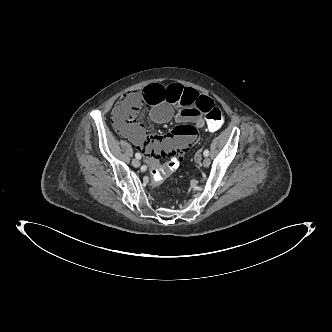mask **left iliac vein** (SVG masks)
<instances>
[{
  "label": "left iliac vein",
  "instance_id": "4c4485c4",
  "mask_svg": "<svg viewBox=\"0 0 332 332\" xmlns=\"http://www.w3.org/2000/svg\"><path fill=\"white\" fill-rule=\"evenodd\" d=\"M210 164H211V160L209 158H205L202 162V165L204 167H209Z\"/></svg>",
  "mask_w": 332,
  "mask_h": 332
}]
</instances>
